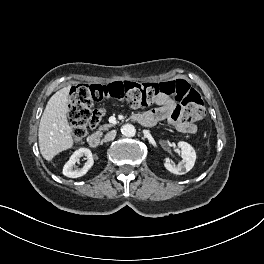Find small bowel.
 <instances>
[{
  "mask_svg": "<svg viewBox=\"0 0 264 264\" xmlns=\"http://www.w3.org/2000/svg\"><path fill=\"white\" fill-rule=\"evenodd\" d=\"M158 105L154 109L148 110L143 114L134 115L133 117H142L151 122L152 125L160 121H168L179 132L184 134H194L196 132V125L193 122L183 120L180 106L172 99H164L158 102Z\"/></svg>",
  "mask_w": 264,
  "mask_h": 264,
  "instance_id": "obj_1",
  "label": "small bowel"
}]
</instances>
